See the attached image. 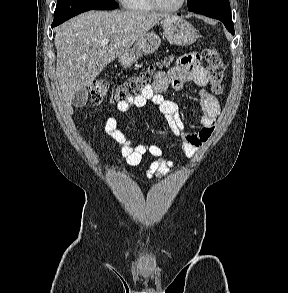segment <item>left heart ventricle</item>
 <instances>
[{
  "label": "left heart ventricle",
  "mask_w": 288,
  "mask_h": 293,
  "mask_svg": "<svg viewBox=\"0 0 288 293\" xmlns=\"http://www.w3.org/2000/svg\"><path fill=\"white\" fill-rule=\"evenodd\" d=\"M162 5L173 7L179 3L180 0H158Z\"/></svg>",
  "instance_id": "left-heart-ventricle-1"
}]
</instances>
